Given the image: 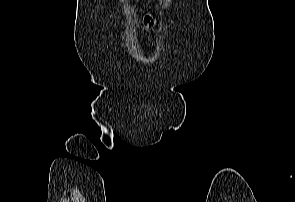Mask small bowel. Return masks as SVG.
I'll return each instance as SVG.
<instances>
[{
  "label": "small bowel",
  "mask_w": 295,
  "mask_h": 202,
  "mask_svg": "<svg viewBox=\"0 0 295 202\" xmlns=\"http://www.w3.org/2000/svg\"><path fill=\"white\" fill-rule=\"evenodd\" d=\"M152 19L151 16H147L146 19L144 20V24L147 26H151L152 25Z\"/></svg>",
  "instance_id": "1"
}]
</instances>
